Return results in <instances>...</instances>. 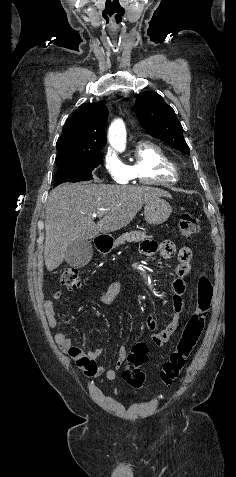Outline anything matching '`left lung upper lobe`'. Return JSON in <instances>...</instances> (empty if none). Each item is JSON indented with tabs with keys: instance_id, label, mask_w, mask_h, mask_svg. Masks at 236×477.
I'll use <instances>...</instances> for the list:
<instances>
[{
	"instance_id": "1",
	"label": "left lung upper lobe",
	"mask_w": 236,
	"mask_h": 477,
	"mask_svg": "<svg viewBox=\"0 0 236 477\" xmlns=\"http://www.w3.org/2000/svg\"><path fill=\"white\" fill-rule=\"evenodd\" d=\"M136 115L149 135L190 155L189 147L183 137L181 123L174 110L159 94L152 91L139 94L136 99Z\"/></svg>"
}]
</instances>
